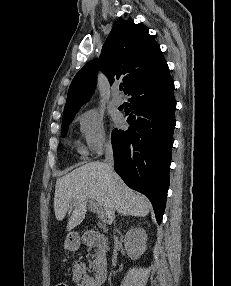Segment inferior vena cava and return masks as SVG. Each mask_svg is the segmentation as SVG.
<instances>
[{
    "mask_svg": "<svg viewBox=\"0 0 231 286\" xmlns=\"http://www.w3.org/2000/svg\"><path fill=\"white\" fill-rule=\"evenodd\" d=\"M105 150V162L109 173L113 172V165H114V157H113V149L111 142H107L104 145ZM114 215H112V220Z\"/></svg>",
    "mask_w": 231,
    "mask_h": 286,
    "instance_id": "obj_1",
    "label": "inferior vena cava"
}]
</instances>
